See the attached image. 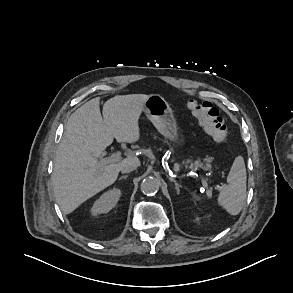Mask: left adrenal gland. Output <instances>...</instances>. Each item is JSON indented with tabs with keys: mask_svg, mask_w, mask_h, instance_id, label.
<instances>
[{
	"mask_svg": "<svg viewBox=\"0 0 293 293\" xmlns=\"http://www.w3.org/2000/svg\"><path fill=\"white\" fill-rule=\"evenodd\" d=\"M170 180H171L172 182H174V184H175V189H176V192H177V194L179 195V193H180V187H181V185H180V184H178V183H177V181H176L175 179H173V178H170Z\"/></svg>",
	"mask_w": 293,
	"mask_h": 293,
	"instance_id": "left-adrenal-gland-1",
	"label": "left adrenal gland"
}]
</instances>
